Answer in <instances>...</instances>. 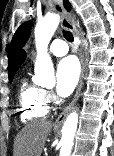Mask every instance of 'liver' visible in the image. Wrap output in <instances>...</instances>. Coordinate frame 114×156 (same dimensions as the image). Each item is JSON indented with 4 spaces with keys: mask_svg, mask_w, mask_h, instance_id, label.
I'll return each mask as SVG.
<instances>
[{
    "mask_svg": "<svg viewBox=\"0 0 114 156\" xmlns=\"http://www.w3.org/2000/svg\"><path fill=\"white\" fill-rule=\"evenodd\" d=\"M52 123L34 120L18 133L14 142L13 156H41Z\"/></svg>",
    "mask_w": 114,
    "mask_h": 156,
    "instance_id": "6515ba94",
    "label": "liver"
}]
</instances>
